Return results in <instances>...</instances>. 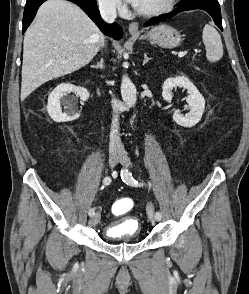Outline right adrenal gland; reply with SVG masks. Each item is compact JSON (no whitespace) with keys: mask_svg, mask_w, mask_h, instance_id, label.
<instances>
[{"mask_svg":"<svg viewBox=\"0 0 249 294\" xmlns=\"http://www.w3.org/2000/svg\"><path fill=\"white\" fill-rule=\"evenodd\" d=\"M91 67L102 70L104 68V60H103V58H101V60L97 63V65H92Z\"/></svg>","mask_w":249,"mask_h":294,"instance_id":"right-adrenal-gland-1","label":"right adrenal gland"}]
</instances>
